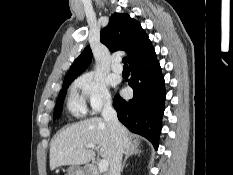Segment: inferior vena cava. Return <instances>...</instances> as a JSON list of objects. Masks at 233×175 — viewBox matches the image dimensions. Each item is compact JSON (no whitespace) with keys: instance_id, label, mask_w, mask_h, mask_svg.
Segmentation results:
<instances>
[{"instance_id":"obj_1","label":"inferior vena cava","mask_w":233,"mask_h":175,"mask_svg":"<svg viewBox=\"0 0 233 175\" xmlns=\"http://www.w3.org/2000/svg\"><path fill=\"white\" fill-rule=\"evenodd\" d=\"M104 121L109 125L111 136L114 139L115 152L110 164L109 175H120L123 155V143L121 135V124L118 121L117 113L110 101H107L102 111Z\"/></svg>"}]
</instances>
